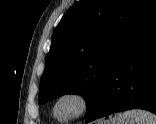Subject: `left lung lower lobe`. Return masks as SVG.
<instances>
[{
	"mask_svg": "<svg viewBox=\"0 0 156 124\" xmlns=\"http://www.w3.org/2000/svg\"><path fill=\"white\" fill-rule=\"evenodd\" d=\"M135 108L156 114V10L127 44L85 122Z\"/></svg>",
	"mask_w": 156,
	"mask_h": 124,
	"instance_id": "0a47b994",
	"label": "left lung lower lobe"
}]
</instances>
